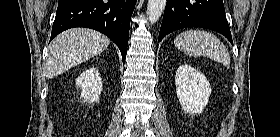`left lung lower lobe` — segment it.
<instances>
[{"instance_id": "0a47b994", "label": "left lung lower lobe", "mask_w": 280, "mask_h": 137, "mask_svg": "<svg viewBox=\"0 0 280 137\" xmlns=\"http://www.w3.org/2000/svg\"><path fill=\"white\" fill-rule=\"evenodd\" d=\"M186 27L217 31L233 44L223 0H167L158 42L167 34Z\"/></svg>"}]
</instances>
